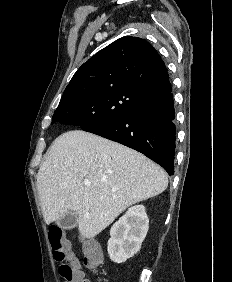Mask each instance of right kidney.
Returning a JSON list of instances; mask_svg holds the SVG:
<instances>
[{"label":"right kidney","mask_w":232,"mask_h":282,"mask_svg":"<svg viewBox=\"0 0 232 282\" xmlns=\"http://www.w3.org/2000/svg\"><path fill=\"white\" fill-rule=\"evenodd\" d=\"M149 228V219L143 205H136L113 224L108 241V254L116 263H123L134 256L145 239Z\"/></svg>","instance_id":"right-kidney-1"}]
</instances>
